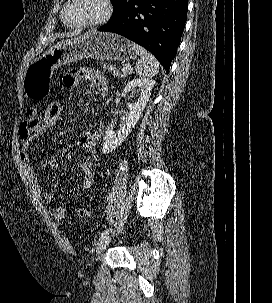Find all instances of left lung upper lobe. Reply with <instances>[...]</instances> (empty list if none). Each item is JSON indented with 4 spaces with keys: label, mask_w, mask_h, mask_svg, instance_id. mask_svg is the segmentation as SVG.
<instances>
[{
    "label": "left lung upper lobe",
    "mask_w": 272,
    "mask_h": 303,
    "mask_svg": "<svg viewBox=\"0 0 272 303\" xmlns=\"http://www.w3.org/2000/svg\"><path fill=\"white\" fill-rule=\"evenodd\" d=\"M114 4V13L110 20L122 16L138 0H111Z\"/></svg>",
    "instance_id": "5c2ea615"
}]
</instances>
